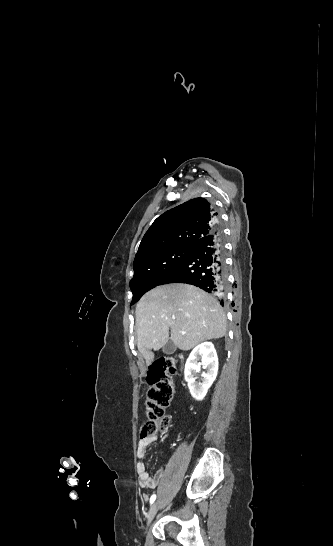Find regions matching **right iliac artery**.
Here are the masks:
<instances>
[{
	"mask_svg": "<svg viewBox=\"0 0 333 546\" xmlns=\"http://www.w3.org/2000/svg\"><path fill=\"white\" fill-rule=\"evenodd\" d=\"M155 499H156V495L153 494V495L151 496V498H150V504H152V503L155 501Z\"/></svg>",
	"mask_w": 333,
	"mask_h": 546,
	"instance_id": "right-iliac-artery-1",
	"label": "right iliac artery"
}]
</instances>
